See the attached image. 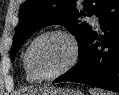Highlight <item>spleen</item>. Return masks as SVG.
I'll return each instance as SVG.
<instances>
[{
    "instance_id": "3e777b00",
    "label": "spleen",
    "mask_w": 119,
    "mask_h": 95,
    "mask_svg": "<svg viewBox=\"0 0 119 95\" xmlns=\"http://www.w3.org/2000/svg\"><path fill=\"white\" fill-rule=\"evenodd\" d=\"M90 95H118L113 92L99 90V89H90Z\"/></svg>"
}]
</instances>
